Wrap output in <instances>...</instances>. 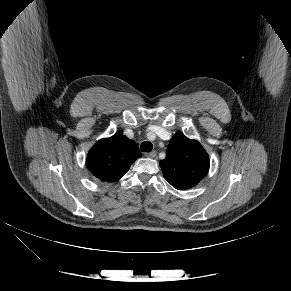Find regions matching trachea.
<instances>
[{
  "instance_id": "trachea-1",
  "label": "trachea",
  "mask_w": 291,
  "mask_h": 291,
  "mask_svg": "<svg viewBox=\"0 0 291 291\" xmlns=\"http://www.w3.org/2000/svg\"><path fill=\"white\" fill-rule=\"evenodd\" d=\"M152 148H153V145L149 141H144L140 146V149L142 152H150Z\"/></svg>"
}]
</instances>
